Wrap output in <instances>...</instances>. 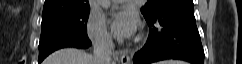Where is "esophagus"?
Masks as SVG:
<instances>
[{
    "label": "esophagus",
    "instance_id": "esophagus-1",
    "mask_svg": "<svg viewBox=\"0 0 242 64\" xmlns=\"http://www.w3.org/2000/svg\"><path fill=\"white\" fill-rule=\"evenodd\" d=\"M120 62H121V64H129L130 63V57L125 51L121 52Z\"/></svg>",
    "mask_w": 242,
    "mask_h": 64
}]
</instances>
